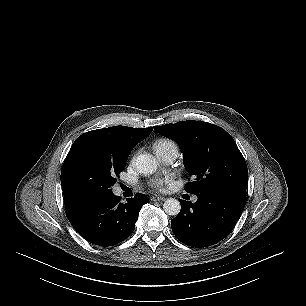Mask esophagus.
Returning a JSON list of instances; mask_svg holds the SVG:
<instances>
[{
	"label": "esophagus",
	"instance_id": "esophagus-1",
	"mask_svg": "<svg viewBox=\"0 0 306 306\" xmlns=\"http://www.w3.org/2000/svg\"><path fill=\"white\" fill-rule=\"evenodd\" d=\"M151 200L154 201V202L164 201L165 197L159 196V195H154V196L151 197Z\"/></svg>",
	"mask_w": 306,
	"mask_h": 306
}]
</instances>
